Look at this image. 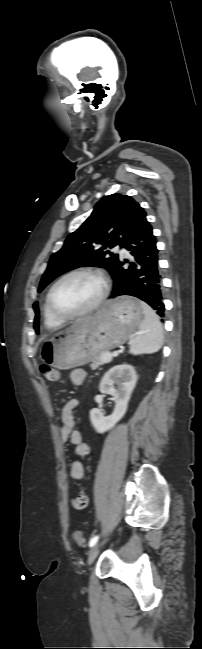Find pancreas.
<instances>
[{
	"mask_svg": "<svg viewBox=\"0 0 202 649\" xmlns=\"http://www.w3.org/2000/svg\"><path fill=\"white\" fill-rule=\"evenodd\" d=\"M102 353H103V352H100V353L98 354V356L94 359L93 363L90 365V367H91L92 370H95V369H97L99 366H101V365L104 364V362H103L102 359H101V354H102Z\"/></svg>",
	"mask_w": 202,
	"mask_h": 649,
	"instance_id": "1",
	"label": "pancreas"
}]
</instances>
